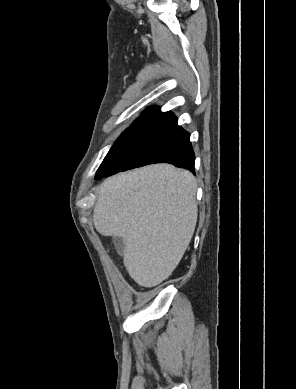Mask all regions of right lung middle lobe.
<instances>
[{
  "mask_svg": "<svg viewBox=\"0 0 296 389\" xmlns=\"http://www.w3.org/2000/svg\"><path fill=\"white\" fill-rule=\"evenodd\" d=\"M177 126L174 119L138 118L114 143L97 173L139 167L151 149Z\"/></svg>",
  "mask_w": 296,
  "mask_h": 389,
  "instance_id": "dd1d6c3e",
  "label": "right lung middle lobe"
}]
</instances>
